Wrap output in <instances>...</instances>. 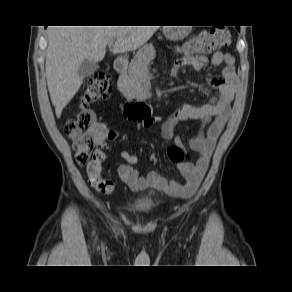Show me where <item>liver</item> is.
<instances>
[{
    "instance_id": "obj_1",
    "label": "liver",
    "mask_w": 292,
    "mask_h": 292,
    "mask_svg": "<svg viewBox=\"0 0 292 292\" xmlns=\"http://www.w3.org/2000/svg\"><path fill=\"white\" fill-rule=\"evenodd\" d=\"M156 30L157 26H50L45 74L56 116H61L81 87L78 68L84 60H103L106 45L114 41L113 54L135 51Z\"/></svg>"
}]
</instances>
